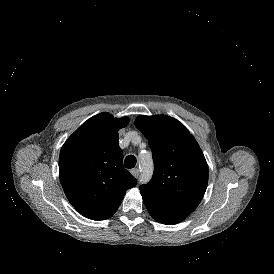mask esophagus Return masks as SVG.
<instances>
[{
	"label": "esophagus",
	"instance_id": "1",
	"mask_svg": "<svg viewBox=\"0 0 274 274\" xmlns=\"http://www.w3.org/2000/svg\"><path fill=\"white\" fill-rule=\"evenodd\" d=\"M130 172H131V174H132L135 178H138V177H139V169L134 168V169H132Z\"/></svg>",
	"mask_w": 274,
	"mask_h": 274
}]
</instances>
